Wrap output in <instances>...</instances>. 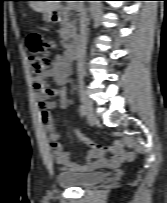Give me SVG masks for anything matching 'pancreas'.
<instances>
[{
	"mask_svg": "<svg viewBox=\"0 0 167 203\" xmlns=\"http://www.w3.org/2000/svg\"><path fill=\"white\" fill-rule=\"evenodd\" d=\"M76 33V20L70 19L68 16L64 17V21L61 24V29L59 31L61 37V43L64 48L69 47V40Z\"/></svg>",
	"mask_w": 167,
	"mask_h": 203,
	"instance_id": "1",
	"label": "pancreas"
}]
</instances>
